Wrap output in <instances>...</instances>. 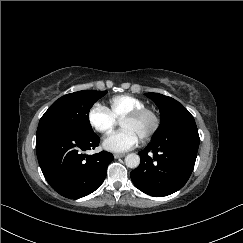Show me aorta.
<instances>
[{
    "label": "aorta",
    "mask_w": 243,
    "mask_h": 243,
    "mask_svg": "<svg viewBox=\"0 0 243 243\" xmlns=\"http://www.w3.org/2000/svg\"><path fill=\"white\" fill-rule=\"evenodd\" d=\"M125 164L129 168H137L140 164V157L135 153H130L125 157Z\"/></svg>",
    "instance_id": "762f6f07"
}]
</instances>
